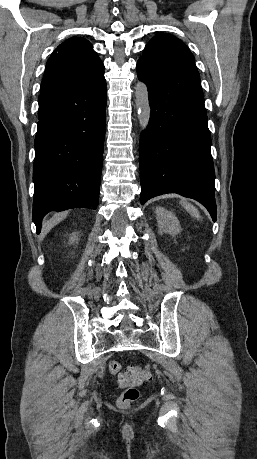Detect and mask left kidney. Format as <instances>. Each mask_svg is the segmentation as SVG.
<instances>
[{"mask_svg": "<svg viewBox=\"0 0 257 459\" xmlns=\"http://www.w3.org/2000/svg\"><path fill=\"white\" fill-rule=\"evenodd\" d=\"M155 213L160 234L169 233L174 236L180 233V222L173 213L163 207H157Z\"/></svg>", "mask_w": 257, "mask_h": 459, "instance_id": "obj_1", "label": "left kidney"}]
</instances>
